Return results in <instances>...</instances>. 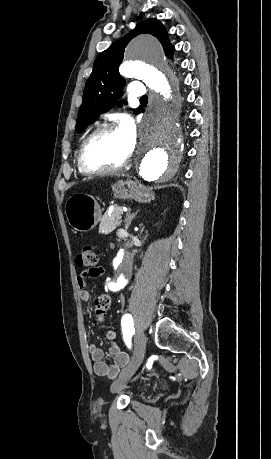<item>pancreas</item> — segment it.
<instances>
[{"label": "pancreas", "mask_w": 271, "mask_h": 459, "mask_svg": "<svg viewBox=\"0 0 271 459\" xmlns=\"http://www.w3.org/2000/svg\"><path fill=\"white\" fill-rule=\"evenodd\" d=\"M117 214L122 215L121 208H113L110 216H108V212L104 214L99 226V233H110V231H113V229L119 226L121 219L116 218Z\"/></svg>", "instance_id": "cf45deb5"}]
</instances>
